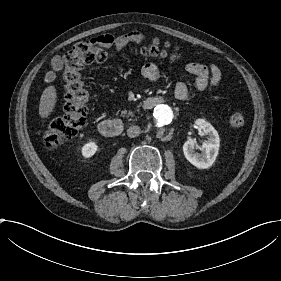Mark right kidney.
Returning <instances> with one entry per match:
<instances>
[{"label":"right kidney","instance_id":"ca27d5eb","mask_svg":"<svg viewBox=\"0 0 281 281\" xmlns=\"http://www.w3.org/2000/svg\"><path fill=\"white\" fill-rule=\"evenodd\" d=\"M80 151L82 158L89 159L98 151V144L95 141H88L83 144Z\"/></svg>","mask_w":281,"mask_h":281}]
</instances>
